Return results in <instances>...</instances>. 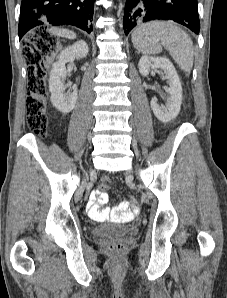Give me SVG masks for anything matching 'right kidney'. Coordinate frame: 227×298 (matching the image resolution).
Segmentation results:
<instances>
[{"label": "right kidney", "mask_w": 227, "mask_h": 298, "mask_svg": "<svg viewBox=\"0 0 227 298\" xmlns=\"http://www.w3.org/2000/svg\"><path fill=\"white\" fill-rule=\"evenodd\" d=\"M89 52L88 45L84 41H78L72 46L64 49L58 56V61L53 64L49 78V91L51 92V102L60 112L67 114L73 110L77 101V91L65 93V80L67 70L65 64L73 62L75 58L82 59Z\"/></svg>", "instance_id": "right-kidney-1"}]
</instances>
